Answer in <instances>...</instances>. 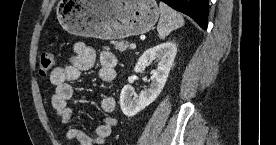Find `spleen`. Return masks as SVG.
I'll use <instances>...</instances> for the list:
<instances>
[{"instance_id":"1","label":"spleen","mask_w":276,"mask_h":145,"mask_svg":"<svg viewBox=\"0 0 276 145\" xmlns=\"http://www.w3.org/2000/svg\"><path fill=\"white\" fill-rule=\"evenodd\" d=\"M159 8L161 16L157 25V32L160 39H165L174 29L184 25V19L163 2H160Z\"/></svg>"}]
</instances>
